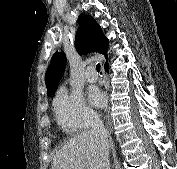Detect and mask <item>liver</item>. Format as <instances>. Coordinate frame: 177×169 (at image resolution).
<instances>
[{
    "label": "liver",
    "instance_id": "obj_1",
    "mask_svg": "<svg viewBox=\"0 0 177 169\" xmlns=\"http://www.w3.org/2000/svg\"><path fill=\"white\" fill-rule=\"evenodd\" d=\"M104 152L90 131L69 139L56 153L51 169H102Z\"/></svg>",
    "mask_w": 177,
    "mask_h": 169
}]
</instances>
